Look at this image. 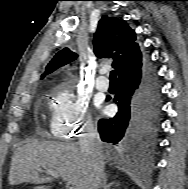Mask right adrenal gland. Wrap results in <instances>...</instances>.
Masks as SVG:
<instances>
[{
    "label": "right adrenal gland",
    "instance_id": "right-adrenal-gland-1",
    "mask_svg": "<svg viewBox=\"0 0 188 189\" xmlns=\"http://www.w3.org/2000/svg\"><path fill=\"white\" fill-rule=\"evenodd\" d=\"M114 184H117V183L111 182V183L107 184V176L106 175L104 176L103 183H102L103 189H110V187Z\"/></svg>",
    "mask_w": 188,
    "mask_h": 189
}]
</instances>
